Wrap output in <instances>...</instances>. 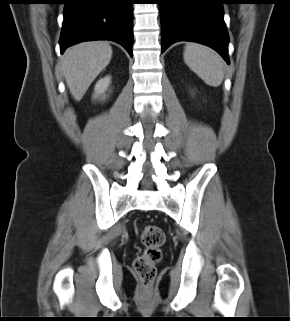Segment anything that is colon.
I'll return each instance as SVG.
<instances>
[{
    "mask_svg": "<svg viewBox=\"0 0 290 321\" xmlns=\"http://www.w3.org/2000/svg\"><path fill=\"white\" fill-rule=\"evenodd\" d=\"M144 251L134 262V270L144 286H149L156 276V265L162 258L161 246L165 241L163 230L156 225H147L141 232Z\"/></svg>",
    "mask_w": 290,
    "mask_h": 321,
    "instance_id": "colon-1",
    "label": "colon"
}]
</instances>
